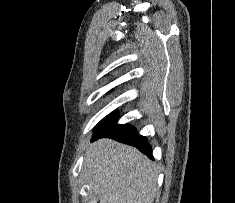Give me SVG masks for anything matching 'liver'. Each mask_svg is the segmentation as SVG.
I'll list each match as a JSON object with an SVG mask.
<instances>
[{
  "mask_svg": "<svg viewBox=\"0 0 235 203\" xmlns=\"http://www.w3.org/2000/svg\"><path fill=\"white\" fill-rule=\"evenodd\" d=\"M82 174L100 203H153L154 164L136 148L100 139L85 152Z\"/></svg>",
  "mask_w": 235,
  "mask_h": 203,
  "instance_id": "1",
  "label": "liver"
}]
</instances>
